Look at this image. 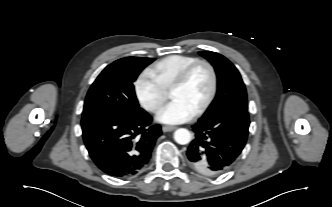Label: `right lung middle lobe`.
<instances>
[{"mask_svg":"<svg viewBox=\"0 0 332 207\" xmlns=\"http://www.w3.org/2000/svg\"><path fill=\"white\" fill-rule=\"evenodd\" d=\"M154 58L126 57L108 65L86 96L82 118L104 112L132 114L140 111L134 81Z\"/></svg>","mask_w":332,"mask_h":207,"instance_id":"dd1d6c3e","label":"right lung middle lobe"}]
</instances>
